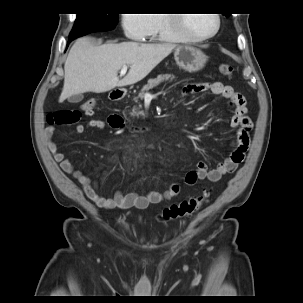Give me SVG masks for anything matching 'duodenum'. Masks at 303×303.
<instances>
[{
    "label": "duodenum",
    "instance_id": "1",
    "mask_svg": "<svg viewBox=\"0 0 303 303\" xmlns=\"http://www.w3.org/2000/svg\"><path fill=\"white\" fill-rule=\"evenodd\" d=\"M110 98L114 101L121 100L123 98V93L120 91L112 92ZM114 119L119 128H122L124 126L122 118L119 115H115ZM131 128L137 133H146L147 131H149V129L147 128H140V127H131Z\"/></svg>",
    "mask_w": 303,
    "mask_h": 303
}]
</instances>
